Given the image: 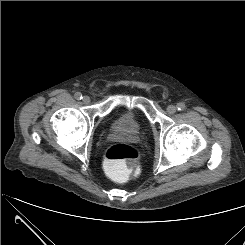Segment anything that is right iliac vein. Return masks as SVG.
Returning a JSON list of instances; mask_svg holds the SVG:
<instances>
[{
    "instance_id": "1",
    "label": "right iliac vein",
    "mask_w": 245,
    "mask_h": 245,
    "mask_svg": "<svg viewBox=\"0 0 245 245\" xmlns=\"http://www.w3.org/2000/svg\"><path fill=\"white\" fill-rule=\"evenodd\" d=\"M83 103L85 104H89L91 102V99L89 96H84L83 99H82Z\"/></svg>"
}]
</instances>
